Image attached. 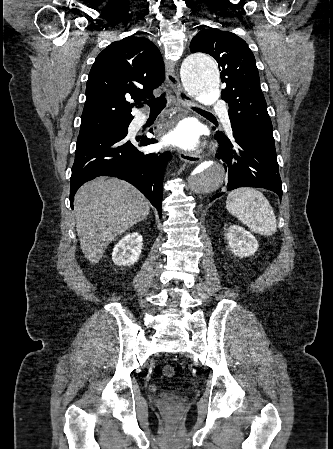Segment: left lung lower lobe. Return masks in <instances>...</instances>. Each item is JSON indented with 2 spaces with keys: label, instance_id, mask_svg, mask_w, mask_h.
<instances>
[{
  "label": "left lung lower lobe",
  "instance_id": "obj_1",
  "mask_svg": "<svg viewBox=\"0 0 333 449\" xmlns=\"http://www.w3.org/2000/svg\"><path fill=\"white\" fill-rule=\"evenodd\" d=\"M230 140L222 132L215 138L220 143L217 155L228 170V190L239 187H259L282 197V182L278 172L275 143L264 135L245 129H233ZM217 192L211 200L222 196Z\"/></svg>",
  "mask_w": 333,
  "mask_h": 449
}]
</instances>
